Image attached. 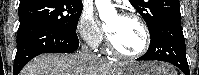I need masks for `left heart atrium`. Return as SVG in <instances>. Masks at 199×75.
<instances>
[{
	"mask_svg": "<svg viewBox=\"0 0 199 75\" xmlns=\"http://www.w3.org/2000/svg\"><path fill=\"white\" fill-rule=\"evenodd\" d=\"M106 32L108 33V35H110V33H111V28L106 27Z\"/></svg>",
	"mask_w": 199,
	"mask_h": 75,
	"instance_id": "1",
	"label": "left heart atrium"
}]
</instances>
